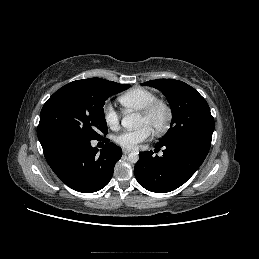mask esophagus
Wrapping results in <instances>:
<instances>
[{
  "label": "esophagus",
  "instance_id": "esophagus-1",
  "mask_svg": "<svg viewBox=\"0 0 259 259\" xmlns=\"http://www.w3.org/2000/svg\"><path fill=\"white\" fill-rule=\"evenodd\" d=\"M130 153V151L129 150H127V149H123V154H129Z\"/></svg>",
  "mask_w": 259,
  "mask_h": 259
}]
</instances>
